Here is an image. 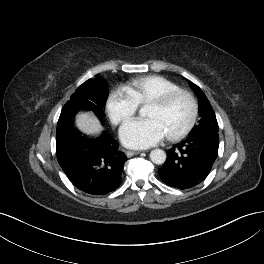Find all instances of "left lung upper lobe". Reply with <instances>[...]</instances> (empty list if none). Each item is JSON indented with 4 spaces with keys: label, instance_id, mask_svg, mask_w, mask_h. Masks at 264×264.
Here are the masks:
<instances>
[{
    "label": "left lung upper lobe",
    "instance_id": "obj_1",
    "mask_svg": "<svg viewBox=\"0 0 264 264\" xmlns=\"http://www.w3.org/2000/svg\"><path fill=\"white\" fill-rule=\"evenodd\" d=\"M190 86L196 93L198 100H199V115L201 117L199 124L194 126L192 132H195L197 130L203 129V128H215L218 129V123L216 120L215 113L205 96V94L202 92V90L195 85L194 83H190Z\"/></svg>",
    "mask_w": 264,
    "mask_h": 264
}]
</instances>
